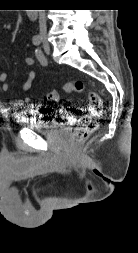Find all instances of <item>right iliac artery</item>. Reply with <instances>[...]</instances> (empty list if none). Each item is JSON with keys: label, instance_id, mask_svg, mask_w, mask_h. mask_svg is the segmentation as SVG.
Instances as JSON below:
<instances>
[{"label": "right iliac artery", "instance_id": "1", "mask_svg": "<svg viewBox=\"0 0 138 253\" xmlns=\"http://www.w3.org/2000/svg\"><path fill=\"white\" fill-rule=\"evenodd\" d=\"M41 41H42V39H41L40 36H34L33 37V44L34 45H36V46L40 45Z\"/></svg>", "mask_w": 138, "mask_h": 253}]
</instances>
